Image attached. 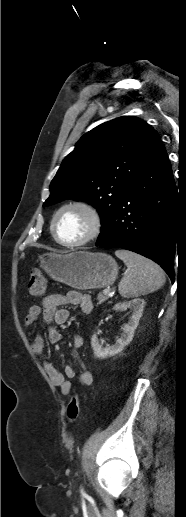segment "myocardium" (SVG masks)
I'll list each match as a JSON object with an SVG mask.
<instances>
[{"label": "myocardium", "mask_w": 186, "mask_h": 517, "mask_svg": "<svg viewBox=\"0 0 186 517\" xmlns=\"http://www.w3.org/2000/svg\"><path fill=\"white\" fill-rule=\"evenodd\" d=\"M68 209H79L83 211L89 218L90 227L85 236L76 242H64L59 239L56 233V222L62 212ZM103 220L98 209L91 203L84 200H74L62 205L53 215L51 220L50 230L54 240L61 246L67 248L81 247L92 240H94L101 232Z\"/></svg>", "instance_id": "obj_1"}]
</instances>
